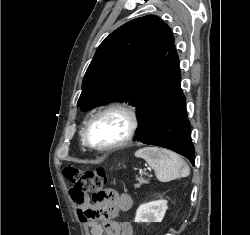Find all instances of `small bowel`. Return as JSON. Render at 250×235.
I'll use <instances>...</instances> for the list:
<instances>
[{
    "label": "small bowel",
    "instance_id": "c3829d8e",
    "mask_svg": "<svg viewBox=\"0 0 250 235\" xmlns=\"http://www.w3.org/2000/svg\"><path fill=\"white\" fill-rule=\"evenodd\" d=\"M107 198L99 204L85 201L77 205V214L90 235H132V226L129 222H116L107 219L108 215L115 212H126L132 207V198L127 193H117L112 190L106 192ZM95 213V217H91ZM100 213V216L96 215ZM103 221H100V220Z\"/></svg>",
    "mask_w": 250,
    "mask_h": 235
}]
</instances>
